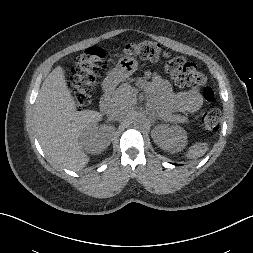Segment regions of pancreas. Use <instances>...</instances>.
<instances>
[{"mask_svg": "<svg viewBox=\"0 0 253 253\" xmlns=\"http://www.w3.org/2000/svg\"><path fill=\"white\" fill-rule=\"evenodd\" d=\"M133 88L124 83L120 85L115 91L110 95V101L112 103H118L123 105H128L133 102ZM151 107L158 113L159 117L169 122H188V118L180 114H172L168 109L162 107L157 102H151Z\"/></svg>", "mask_w": 253, "mask_h": 253, "instance_id": "pancreas-1", "label": "pancreas"}]
</instances>
